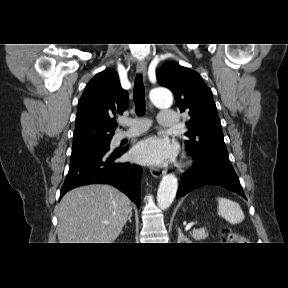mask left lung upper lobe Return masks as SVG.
I'll return each mask as SVG.
<instances>
[{
	"label": "left lung upper lobe",
	"mask_w": 288,
	"mask_h": 288,
	"mask_svg": "<svg viewBox=\"0 0 288 288\" xmlns=\"http://www.w3.org/2000/svg\"><path fill=\"white\" fill-rule=\"evenodd\" d=\"M156 75L158 83L174 93L180 111L190 115L185 133L189 138L185 141L188 153L199 160H214L232 167L213 93L202 77L176 62L165 63Z\"/></svg>",
	"instance_id": "1"
}]
</instances>
